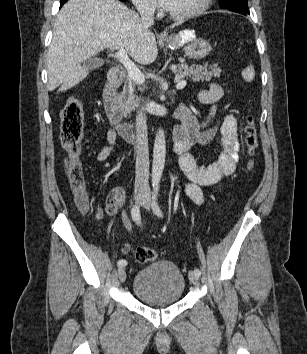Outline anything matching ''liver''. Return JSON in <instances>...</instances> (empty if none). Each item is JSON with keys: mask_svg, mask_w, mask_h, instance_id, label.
<instances>
[{"mask_svg": "<svg viewBox=\"0 0 307 354\" xmlns=\"http://www.w3.org/2000/svg\"><path fill=\"white\" fill-rule=\"evenodd\" d=\"M175 25H172V28ZM106 48L124 49L143 65L155 61L154 33L118 0H69L56 17L48 49L47 90L67 91L88 75L82 65Z\"/></svg>", "mask_w": 307, "mask_h": 354, "instance_id": "6515ba94", "label": "liver"}]
</instances>
